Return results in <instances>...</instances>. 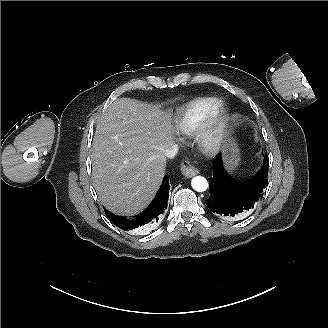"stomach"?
Returning a JSON list of instances; mask_svg holds the SVG:
<instances>
[{
    "instance_id": "1",
    "label": "stomach",
    "mask_w": 328,
    "mask_h": 328,
    "mask_svg": "<svg viewBox=\"0 0 328 328\" xmlns=\"http://www.w3.org/2000/svg\"><path fill=\"white\" fill-rule=\"evenodd\" d=\"M223 134L224 137L221 142V148L224 152L226 167L232 171L234 170L240 161L239 149L234 139L226 133V131H221L219 135Z\"/></svg>"
}]
</instances>
